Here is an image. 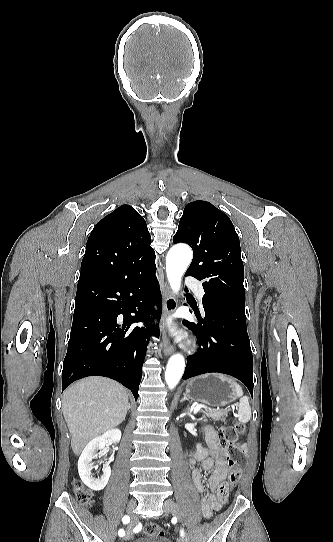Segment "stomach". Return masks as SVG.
Returning a JSON list of instances; mask_svg holds the SVG:
<instances>
[{"label":"stomach","instance_id":"1","mask_svg":"<svg viewBox=\"0 0 333 542\" xmlns=\"http://www.w3.org/2000/svg\"><path fill=\"white\" fill-rule=\"evenodd\" d=\"M185 394L190 400L213 406V408H222L237 400L230 382H222L216 374H204V376L188 380Z\"/></svg>","mask_w":333,"mask_h":542}]
</instances>
